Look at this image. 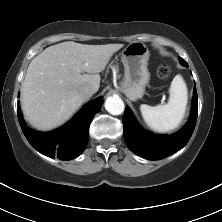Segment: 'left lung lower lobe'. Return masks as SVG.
<instances>
[{
  "label": "left lung lower lobe",
  "instance_id": "1",
  "mask_svg": "<svg viewBox=\"0 0 222 222\" xmlns=\"http://www.w3.org/2000/svg\"><path fill=\"white\" fill-rule=\"evenodd\" d=\"M198 97L194 88L191 115L186 125L177 133L168 135H153L144 131L136 122L128 107L123 118L124 139L129 149L140 157L150 160L166 158L181 148L189 141L197 120Z\"/></svg>",
  "mask_w": 222,
  "mask_h": 222
}]
</instances>
